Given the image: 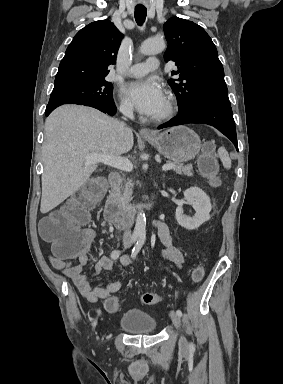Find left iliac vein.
Here are the masks:
<instances>
[{"mask_svg": "<svg viewBox=\"0 0 283 384\" xmlns=\"http://www.w3.org/2000/svg\"><path fill=\"white\" fill-rule=\"evenodd\" d=\"M170 317H171V320H172L174 326L176 327V329L178 331H180V329H181L180 317L174 311L170 312ZM188 346L189 345H188V342H187L186 338L181 334L180 338H179V348L182 351H187L188 350Z\"/></svg>", "mask_w": 283, "mask_h": 384, "instance_id": "1", "label": "left iliac vein"}]
</instances>
